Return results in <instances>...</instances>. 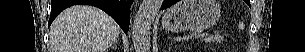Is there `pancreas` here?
Listing matches in <instances>:
<instances>
[{
  "instance_id": "cf45deb5",
  "label": "pancreas",
  "mask_w": 305,
  "mask_h": 52,
  "mask_svg": "<svg viewBox=\"0 0 305 52\" xmlns=\"http://www.w3.org/2000/svg\"><path fill=\"white\" fill-rule=\"evenodd\" d=\"M223 41L224 38L221 35H209L206 37V42L209 43H222Z\"/></svg>"
}]
</instances>
